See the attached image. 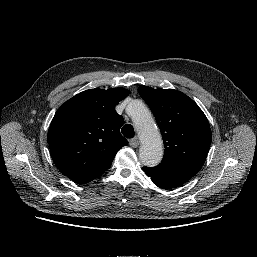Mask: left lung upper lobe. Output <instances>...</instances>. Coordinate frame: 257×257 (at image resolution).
Returning <instances> with one entry per match:
<instances>
[{
	"mask_svg": "<svg viewBox=\"0 0 257 257\" xmlns=\"http://www.w3.org/2000/svg\"><path fill=\"white\" fill-rule=\"evenodd\" d=\"M150 107L164 142V157L158 168L193 177L203 166L212 134L199 106L174 89L138 88Z\"/></svg>",
	"mask_w": 257,
	"mask_h": 257,
	"instance_id": "1",
	"label": "left lung upper lobe"
}]
</instances>
